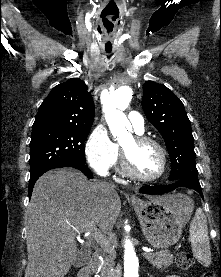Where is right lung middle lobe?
<instances>
[{
    "mask_svg": "<svg viewBox=\"0 0 221 277\" xmlns=\"http://www.w3.org/2000/svg\"><path fill=\"white\" fill-rule=\"evenodd\" d=\"M90 129L91 126L33 127L29 160L31 177L68 162L85 164L83 143Z\"/></svg>",
    "mask_w": 221,
    "mask_h": 277,
    "instance_id": "right-lung-middle-lobe-1",
    "label": "right lung middle lobe"
}]
</instances>
